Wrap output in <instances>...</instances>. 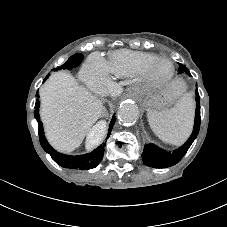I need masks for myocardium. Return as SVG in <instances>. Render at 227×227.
Instances as JSON below:
<instances>
[{
    "label": "myocardium",
    "mask_w": 227,
    "mask_h": 227,
    "mask_svg": "<svg viewBox=\"0 0 227 227\" xmlns=\"http://www.w3.org/2000/svg\"><path fill=\"white\" fill-rule=\"evenodd\" d=\"M156 74H158V75H163V74H164V71L157 70V71H156Z\"/></svg>",
    "instance_id": "obj_1"
}]
</instances>
